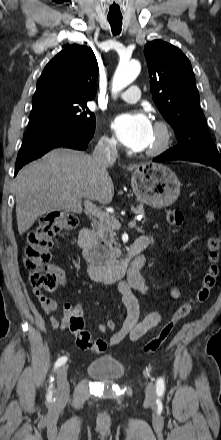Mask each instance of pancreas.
Wrapping results in <instances>:
<instances>
[{
    "instance_id": "obj_1",
    "label": "pancreas",
    "mask_w": 221,
    "mask_h": 440,
    "mask_svg": "<svg viewBox=\"0 0 221 440\" xmlns=\"http://www.w3.org/2000/svg\"><path fill=\"white\" fill-rule=\"evenodd\" d=\"M131 211L136 215H144V207L142 204L134 207H131ZM92 237L94 238V241H101L104 242L108 246V254L109 259H115L116 253L118 252L117 248V242H116V233L114 232V228L111 225H108L105 222H93L92 224ZM113 244L115 247H113ZM89 249L93 252H96L98 249V245L93 243Z\"/></svg>"
}]
</instances>
